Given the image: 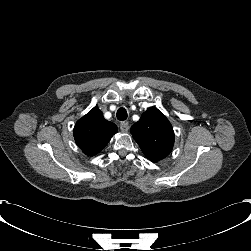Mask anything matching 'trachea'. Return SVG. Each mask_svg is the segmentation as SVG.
<instances>
[{
  "instance_id": "obj_1",
  "label": "trachea",
  "mask_w": 251,
  "mask_h": 251,
  "mask_svg": "<svg viewBox=\"0 0 251 251\" xmlns=\"http://www.w3.org/2000/svg\"><path fill=\"white\" fill-rule=\"evenodd\" d=\"M116 117L118 120H126L127 119V111L125 108L121 107L118 109L116 113Z\"/></svg>"
}]
</instances>
